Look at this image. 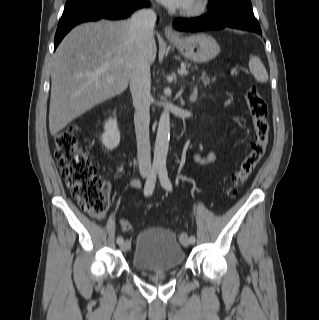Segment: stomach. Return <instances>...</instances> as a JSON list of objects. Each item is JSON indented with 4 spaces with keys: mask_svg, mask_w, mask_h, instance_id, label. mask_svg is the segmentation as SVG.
Listing matches in <instances>:
<instances>
[{
    "mask_svg": "<svg viewBox=\"0 0 319 320\" xmlns=\"http://www.w3.org/2000/svg\"><path fill=\"white\" fill-rule=\"evenodd\" d=\"M170 41L181 55L195 63L208 62L220 52V47L216 40L205 33L189 37H176Z\"/></svg>",
    "mask_w": 319,
    "mask_h": 320,
    "instance_id": "0dacf381",
    "label": "stomach"
}]
</instances>
